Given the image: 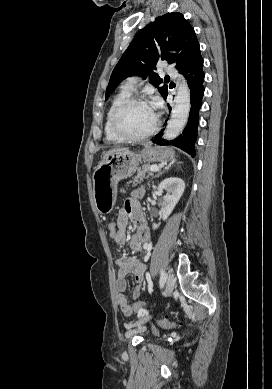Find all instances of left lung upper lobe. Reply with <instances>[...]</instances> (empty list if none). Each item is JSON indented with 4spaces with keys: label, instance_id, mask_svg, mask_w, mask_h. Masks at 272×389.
I'll list each match as a JSON object with an SVG mask.
<instances>
[{
    "label": "left lung upper lobe",
    "instance_id": "left-lung-upper-lobe-1",
    "mask_svg": "<svg viewBox=\"0 0 272 389\" xmlns=\"http://www.w3.org/2000/svg\"><path fill=\"white\" fill-rule=\"evenodd\" d=\"M157 46H160L161 53L158 52ZM198 46L193 27L181 13H167L157 17L154 22L136 33L111 74L105 98H108L122 80L132 75H149L150 83L157 87L165 98L167 86L159 87L163 80L153 72L157 62H176L175 67L181 71ZM171 48L180 54L168 53Z\"/></svg>",
    "mask_w": 272,
    "mask_h": 389
}]
</instances>
